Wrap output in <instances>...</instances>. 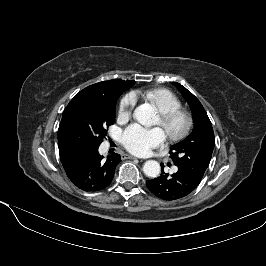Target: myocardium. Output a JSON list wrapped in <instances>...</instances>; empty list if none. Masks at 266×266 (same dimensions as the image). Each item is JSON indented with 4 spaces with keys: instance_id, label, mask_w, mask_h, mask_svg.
I'll return each mask as SVG.
<instances>
[{
    "instance_id": "f54148a6",
    "label": "myocardium",
    "mask_w": 266,
    "mask_h": 266,
    "mask_svg": "<svg viewBox=\"0 0 266 266\" xmlns=\"http://www.w3.org/2000/svg\"><path fill=\"white\" fill-rule=\"evenodd\" d=\"M160 120L165 127L180 121L181 126L175 131H166L167 136L173 140L178 141L186 137L192 129L193 117L184 109H176L160 114Z\"/></svg>"
}]
</instances>
